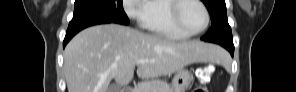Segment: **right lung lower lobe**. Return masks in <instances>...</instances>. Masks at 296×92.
Returning a JSON list of instances; mask_svg holds the SVG:
<instances>
[{"instance_id": "obj_1", "label": "right lung lower lobe", "mask_w": 296, "mask_h": 92, "mask_svg": "<svg viewBox=\"0 0 296 92\" xmlns=\"http://www.w3.org/2000/svg\"><path fill=\"white\" fill-rule=\"evenodd\" d=\"M106 23H116L110 20H105L101 18H85L81 20H72L69 23V27L66 32L65 39L63 41V46L67 44V42L79 31L82 29L92 26V25H97V24H106Z\"/></svg>"}]
</instances>
